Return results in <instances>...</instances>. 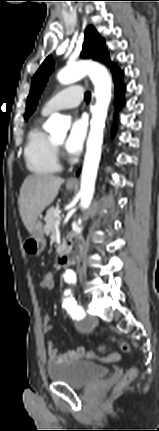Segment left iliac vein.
Wrapping results in <instances>:
<instances>
[{"label": "left iliac vein", "instance_id": "obj_1", "mask_svg": "<svg viewBox=\"0 0 159 431\" xmlns=\"http://www.w3.org/2000/svg\"><path fill=\"white\" fill-rule=\"evenodd\" d=\"M89 322H90V323H94V322H96V318H95V317H90Z\"/></svg>", "mask_w": 159, "mask_h": 431}]
</instances>
